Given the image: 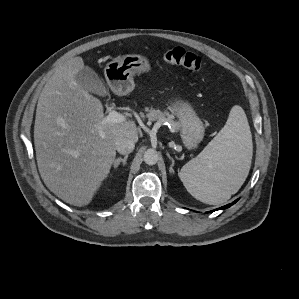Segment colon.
Masks as SVG:
<instances>
[{"label":"colon","mask_w":299,"mask_h":299,"mask_svg":"<svg viewBox=\"0 0 299 299\" xmlns=\"http://www.w3.org/2000/svg\"><path fill=\"white\" fill-rule=\"evenodd\" d=\"M162 58L168 64L182 66L192 71H198L202 67V59L199 55L181 47H173L164 51Z\"/></svg>","instance_id":"5ec220e1"}]
</instances>
